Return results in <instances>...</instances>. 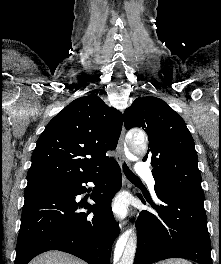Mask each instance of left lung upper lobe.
Segmentation results:
<instances>
[{
  "label": "left lung upper lobe",
  "instance_id": "1",
  "mask_svg": "<svg viewBox=\"0 0 221 264\" xmlns=\"http://www.w3.org/2000/svg\"><path fill=\"white\" fill-rule=\"evenodd\" d=\"M127 130L142 128L149 138L155 188L204 199L193 138L184 120L163 100L139 97L124 112Z\"/></svg>",
  "mask_w": 221,
  "mask_h": 264
}]
</instances>
